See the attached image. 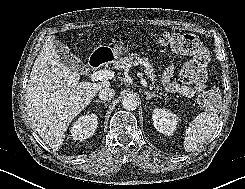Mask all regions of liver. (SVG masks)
Masks as SVG:
<instances>
[{
	"mask_svg": "<svg viewBox=\"0 0 245 189\" xmlns=\"http://www.w3.org/2000/svg\"><path fill=\"white\" fill-rule=\"evenodd\" d=\"M49 36L39 52L26 89V106L33 127L52 149L58 150L73 119L110 82H79L80 74L68 68Z\"/></svg>",
	"mask_w": 245,
	"mask_h": 189,
	"instance_id": "liver-1",
	"label": "liver"
}]
</instances>
